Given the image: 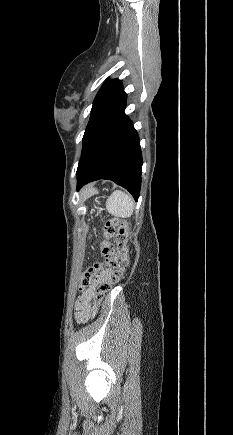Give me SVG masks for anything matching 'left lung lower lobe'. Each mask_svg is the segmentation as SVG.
Returning <instances> with one entry per match:
<instances>
[{
	"instance_id": "left-lung-lower-lobe-1",
	"label": "left lung lower lobe",
	"mask_w": 233,
	"mask_h": 435,
	"mask_svg": "<svg viewBox=\"0 0 233 435\" xmlns=\"http://www.w3.org/2000/svg\"><path fill=\"white\" fill-rule=\"evenodd\" d=\"M142 154L137 131L124 114L108 124L82 152L77 169V189L108 179L126 188L138 200Z\"/></svg>"
}]
</instances>
